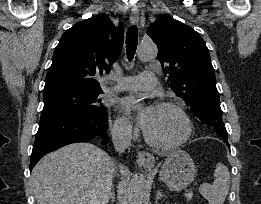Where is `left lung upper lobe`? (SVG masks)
Masks as SVG:
<instances>
[{
  "mask_svg": "<svg viewBox=\"0 0 261 204\" xmlns=\"http://www.w3.org/2000/svg\"><path fill=\"white\" fill-rule=\"evenodd\" d=\"M147 34L158 47V60L170 88L197 118L212 125L220 137L228 139L221 118L215 71L203 38L169 15H162L153 22Z\"/></svg>",
  "mask_w": 261,
  "mask_h": 204,
  "instance_id": "left-lung-upper-lobe-1",
  "label": "left lung upper lobe"
}]
</instances>
